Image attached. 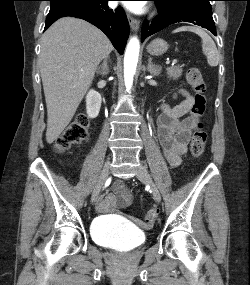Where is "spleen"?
<instances>
[{"instance_id": "spleen-1", "label": "spleen", "mask_w": 250, "mask_h": 285, "mask_svg": "<svg viewBox=\"0 0 250 285\" xmlns=\"http://www.w3.org/2000/svg\"><path fill=\"white\" fill-rule=\"evenodd\" d=\"M190 31L199 35L202 39V51L207 57L208 65L216 67L219 63L220 54L212 38L201 28L194 26H183L174 30V33Z\"/></svg>"}]
</instances>
